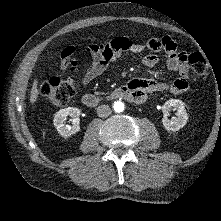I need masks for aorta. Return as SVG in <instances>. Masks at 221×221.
<instances>
[{"mask_svg": "<svg viewBox=\"0 0 221 221\" xmlns=\"http://www.w3.org/2000/svg\"><path fill=\"white\" fill-rule=\"evenodd\" d=\"M113 108H114L115 112H118V113L122 112L125 108L124 103L121 101H116V102H114Z\"/></svg>", "mask_w": 221, "mask_h": 221, "instance_id": "1", "label": "aorta"}]
</instances>
